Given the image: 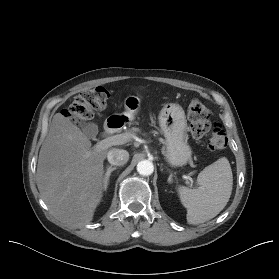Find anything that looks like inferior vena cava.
<instances>
[{
    "label": "inferior vena cava",
    "instance_id": "obj_1",
    "mask_svg": "<svg viewBox=\"0 0 279 279\" xmlns=\"http://www.w3.org/2000/svg\"><path fill=\"white\" fill-rule=\"evenodd\" d=\"M107 159L110 164L121 166L129 160V153L123 149L113 148L108 151Z\"/></svg>",
    "mask_w": 279,
    "mask_h": 279
}]
</instances>
